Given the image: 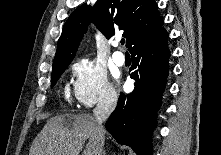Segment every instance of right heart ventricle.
<instances>
[{
	"instance_id": "e07e8e85",
	"label": "right heart ventricle",
	"mask_w": 221,
	"mask_h": 155,
	"mask_svg": "<svg viewBox=\"0 0 221 155\" xmlns=\"http://www.w3.org/2000/svg\"><path fill=\"white\" fill-rule=\"evenodd\" d=\"M65 97H66L67 100H69V91H68V89L65 90Z\"/></svg>"
}]
</instances>
